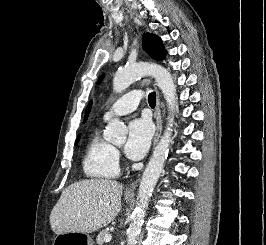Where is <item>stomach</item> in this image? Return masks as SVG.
<instances>
[{"mask_svg":"<svg viewBox=\"0 0 266 245\" xmlns=\"http://www.w3.org/2000/svg\"><path fill=\"white\" fill-rule=\"evenodd\" d=\"M127 203L131 199L125 197ZM57 242H71L75 241L74 245H93L92 237L87 233H56Z\"/></svg>","mask_w":266,"mask_h":245,"instance_id":"1","label":"stomach"}]
</instances>
